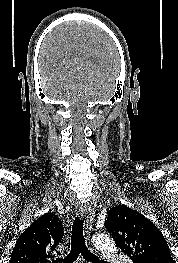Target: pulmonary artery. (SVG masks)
<instances>
[{"mask_svg":"<svg viewBox=\"0 0 178 263\" xmlns=\"http://www.w3.org/2000/svg\"><path fill=\"white\" fill-rule=\"evenodd\" d=\"M116 259L117 263H131V261L126 257L117 256Z\"/></svg>","mask_w":178,"mask_h":263,"instance_id":"1","label":"pulmonary artery"}]
</instances>
